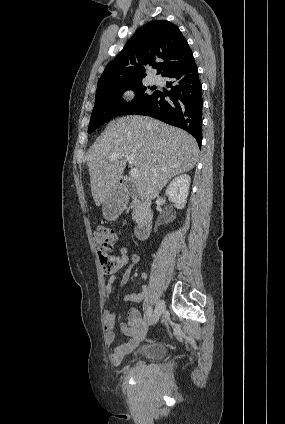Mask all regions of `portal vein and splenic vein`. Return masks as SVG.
<instances>
[{
  "mask_svg": "<svg viewBox=\"0 0 285 424\" xmlns=\"http://www.w3.org/2000/svg\"><path fill=\"white\" fill-rule=\"evenodd\" d=\"M119 153H113L110 157H109V160L110 161H114V160H116L118 157H119ZM127 161H128V163L129 164H133V159L131 158V157H127ZM139 169L138 168H135V167H132L131 169H130V177L132 178V179H137L138 177H139Z\"/></svg>",
  "mask_w": 285,
  "mask_h": 424,
  "instance_id": "portal-vein-and-splenic-vein-1",
  "label": "portal vein and splenic vein"
}]
</instances>
